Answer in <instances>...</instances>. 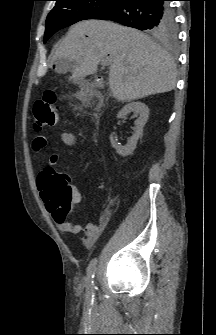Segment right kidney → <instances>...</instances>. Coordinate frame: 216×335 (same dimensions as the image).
Segmentation results:
<instances>
[{
	"mask_svg": "<svg viewBox=\"0 0 216 335\" xmlns=\"http://www.w3.org/2000/svg\"><path fill=\"white\" fill-rule=\"evenodd\" d=\"M131 112H134L135 116H138V119L135 121L134 134L129 139L127 145H118L113 137L110 136L112 147L115 148L116 152L123 157L132 154L135 150L137 141L143 133V128L149 116V109L147 105L142 102H132L123 107V109L118 113L117 118H123Z\"/></svg>",
	"mask_w": 216,
	"mask_h": 335,
	"instance_id": "1",
	"label": "right kidney"
}]
</instances>
